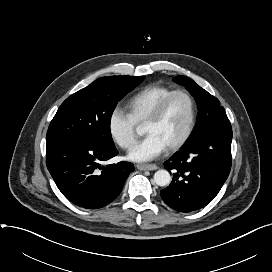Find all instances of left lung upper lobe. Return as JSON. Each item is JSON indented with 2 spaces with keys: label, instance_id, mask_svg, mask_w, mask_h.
I'll return each mask as SVG.
<instances>
[{
  "label": "left lung upper lobe",
  "instance_id": "left-lung-upper-lobe-1",
  "mask_svg": "<svg viewBox=\"0 0 272 272\" xmlns=\"http://www.w3.org/2000/svg\"><path fill=\"white\" fill-rule=\"evenodd\" d=\"M173 81L183 85L190 92L196 100L199 110L195 128L185 144L214 131L231 129L225 110L216 97L186 76L174 77Z\"/></svg>",
  "mask_w": 272,
  "mask_h": 272
}]
</instances>
